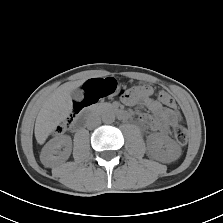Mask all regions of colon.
Wrapping results in <instances>:
<instances>
[{"label":"colon","instance_id":"5ec220e1","mask_svg":"<svg viewBox=\"0 0 223 223\" xmlns=\"http://www.w3.org/2000/svg\"><path fill=\"white\" fill-rule=\"evenodd\" d=\"M114 93H118L121 97L127 94L125 89L117 88V84L112 78H107L105 80L92 79L87 81L81 89V97L75 102L73 113L59 127V132H63L71 126L74 117L83 107L94 104L101 98ZM158 99L166 106L172 107L175 105L174 99L165 92L160 93ZM173 134L180 145L184 146L187 143V131L181 124L173 126Z\"/></svg>","mask_w":223,"mask_h":223}]
</instances>
